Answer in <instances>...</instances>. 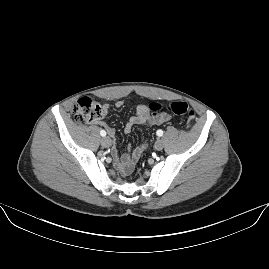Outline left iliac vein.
I'll use <instances>...</instances> for the list:
<instances>
[{
	"instance_id": "left-iliac-vein-1",
	"label": "left iliac vein",
	"mask_w": 269,
	"mask_h": 269,
	"mask_svg": "<svg viewBox=\"0 0 269 269\" xmlns=\"http://www.w3.org/2000/svg\"><path fill=\"white\" fill-rule=\"evenodd\" d=\"M164 147V142L162 139H158L155 143V149L156 150H162Z\"/></svg>"
}]
</instances>
